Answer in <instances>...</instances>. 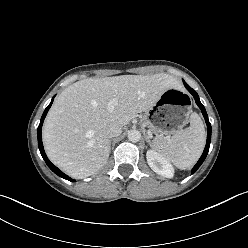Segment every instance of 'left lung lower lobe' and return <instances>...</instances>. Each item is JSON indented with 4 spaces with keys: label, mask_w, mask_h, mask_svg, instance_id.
I'll return each mask as SVG.
<instances>
[{
    "label": "left lung lower lobe",
    "mask_w": 248,
    "mask_h": 248,
    "mask_svg": "<svg viewBox=\"0 0 248 248\" xmlns=\"http://www.w3.org/2000/svg\"><path fill=\"white\" fill-rule=\"evenodd\" d=\"M184 85L185 87L187 88V90L193 95V97L195 98V101H196V104L198 105V107L201 109L202 111V114L205 118V121H206V124H207V128H208V131H207V141H206V146H205V149L203 151V154L202 156L200 157L199 161L196 163V165L193 167L192 169V174L196 172V170L200 167V165L203 163V161L205 160L207 154H208V151H209V146H210V142H211V124L208 120V115L206 113V110L204 108V106L201 104L200 100H199V96L198 94L196 93L195 90H193L188 84H186L184 82Z\"/></svg>",
    "instance_id": "1"
}]
</instances>
